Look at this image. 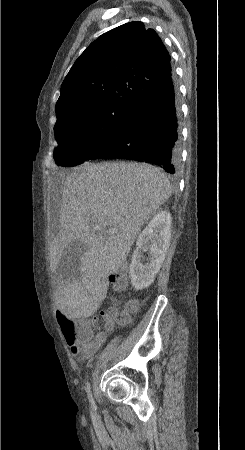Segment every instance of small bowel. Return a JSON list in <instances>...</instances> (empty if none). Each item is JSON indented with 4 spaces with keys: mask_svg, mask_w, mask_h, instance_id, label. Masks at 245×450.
Listing matches in <instances>:
<instances>
[{
    "mask_svg": "<svg viewBox=\"0 0 245 450\" xmlns=\"http://www.w3.org/2000/svg\"><path fill=\"white\" fill-rule=\"evenodd\" d=\"M71 295L69 294L66 298L62 299L58 303V312L62 314L69 315L78 320H85L91 322L92 319H87L85 317H81L75 314L70 307L69 298ZM106 341V333L104 331H100L96 334L93 339H89L86 341H77L73 340L72 342H68L70 346L71 353L78 357L79 359L86 360L89 359L94 353L105 343Z\"/></svg>",
    "mask_w": 245,
    "mask_h": 450,
    "instance_id": "c3829d8e",
    "label": "small bowel"
}]
</instances>
